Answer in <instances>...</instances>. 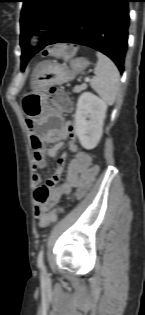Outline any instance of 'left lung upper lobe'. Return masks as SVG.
<instances>
[{
	"instance_id": "obj_1",
	"label": "left lung upper lobe",
	"mask_w": 145,
	"mask_h": 315,
	"mask_svg": "<svg viewBox=\"0 0 145 315\" xmlns=\"http://www.w3.org/2000/svg\"><path fill=\"white\" fill-rule=\"evenodd\" d=\"M74 1L22 0L20 39L31 36L37 29H48L47 34L41 35V40L42 43L50 40L64 23ZM21 60V70L23 71L30 58L23 56Z\"/></svg>"
}]
</instances>
